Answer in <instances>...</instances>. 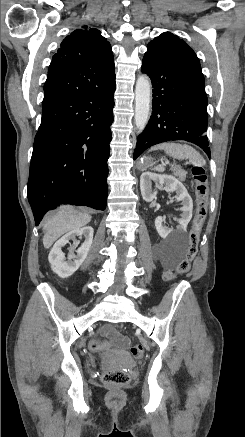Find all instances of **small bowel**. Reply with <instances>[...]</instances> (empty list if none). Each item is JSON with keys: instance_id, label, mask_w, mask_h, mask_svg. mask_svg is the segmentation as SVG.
Wrapping results in <instances>:
<instances>
[{"instance_id": "1", "label": "small bowel", "mask_w": 245, "mask_h": 437, "mask_svg": "<svg viewBox=\"0 0 245 437\" xmlns=\"http://www.w3.org/2000/svg\"><path fill=\"white\" fill-rule=\"evenodd\" d=\"M118 341H119L121 344H126V342H127L124 338H118Z\"/></svg>"}]
</instances>
